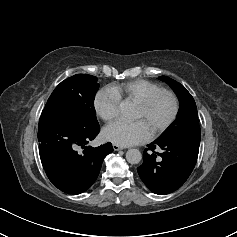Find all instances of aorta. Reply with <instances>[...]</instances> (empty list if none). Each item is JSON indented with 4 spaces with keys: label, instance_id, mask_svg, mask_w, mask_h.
I'll list each match as a JSON object with an SVG mask.
<instances>
[{
    "label": "aorta",
    "instance_id": "obj_1",
    "mask_svg": "<svg viewBox=\"0 0 237 237\" xmlns=\"http://www.w3.org/2000/svg\"><path fill=\"white\" fill-rule=\"evenodd\" d=\"M121 112L123 115L128 116L130 113L129 107L127 105H121ZM142 159V154L138 149H129L126 152V160L130 164H138Z\"/></svg>",
    "mask_w": 237,
    "mask_h": 237
}]
</instances>
